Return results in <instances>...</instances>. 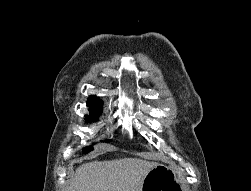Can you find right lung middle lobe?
<instances>
[{
	"instance_id": "right-lung-middle-lobe-1",
	"label": "right lung middle lobe",
	"mask_w": 251,
	"mask_h": 191,
	"mask_svg": "<svg viewBox=\"0 0 251 191\" xmlns=\"http://www.w3.org/2000/svg\"><path fill=\"white\" fill-rule=\"evenodd\" d=\"M90 111H91V115L85 116L87 122L96 120L98 115L101 113V108L90 109ZM91 150H93L92 147H86L83 149V153H89Z\"/></svg>"
}]
</instances>
